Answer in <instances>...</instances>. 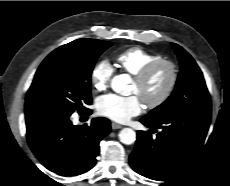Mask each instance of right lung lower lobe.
<instances>
[{
	"label": "right lung lower lobe",
	"instance_id": "obj_1",
	"mask_svg": "<svg viewBox=\"0 0 230 186\" xmlns=\"http://www.w3.org/2000/svg\"><path fill=\"white\" fill-rule=\"evenodd\" d=\"M85 113H90L88 108ZM72 113L55 110L25 113L27 140L38 160L50 171L75 176L90 170L96 163L99 142L110 133V121L92 119L91 125L74 126Z\"/></svg>",
	"mask_w": 230,
	"mask_h": 186
}]
</instances>
